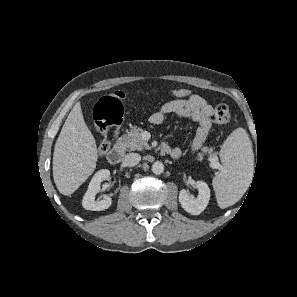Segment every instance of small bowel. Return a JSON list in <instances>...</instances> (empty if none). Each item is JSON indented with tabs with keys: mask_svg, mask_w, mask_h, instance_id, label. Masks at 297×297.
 Segmentation results:
<instances>
[{
	"mask_svg": "<svg viewBox=\"0 0 297 297\" xmlns=\"http://www.w3.org/2000/svg\"><path fill=\"white\" fill-rule=\"evenodd\" d=\"M212 111L213 106L204 97L191 94L188 98L174 99L165 103L159 111L150 116V122L159 125L164 117L170 114L180 118H190L197 122L198 128L191 144V153L195 154L202 148L210 132ZM181 154L180 148H170L169 155L172 158H179Z\"/></svg>",
	"mask_w": 297,
	"mask_h": 297,
	"instance_id": "1",
	"label": "small bowel"
}]
</instances>
